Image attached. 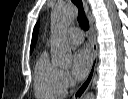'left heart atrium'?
Wrapping results in <instances>:
<instances>
[{
	"label": "left heart atrium",
	"instance_id": "1",
	"mask_svg": "<svg viewBox=\"0 0 128 99\" xmlns=\"http://www.w3.org/2000/svg\"><path fill=\"white\" fill-rule=\"evenodd\" d=\"M91 54L88 49H80L73 56V75L77 79L83 78L89 71L91 65Z\"/></svg>",
	"mask_w": 128,
	"mask_h": 99
}]
</instances>
